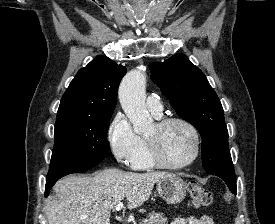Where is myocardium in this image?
Wrapping results in <instances>:
<instances>
[{
    "label": "myocardium",
    "instance_id": "obj_1",
    "mask_svg": "<svg viewBox=\"0 0 275 224\" xmlns=\"http://www.w3.org/2000/svg\"><path fill=\"white\" fill-rule=\"evenodd\" d=\"M171 123H181L191 131L194 139V153L192 157L184 163H180V164L170 163L163 156L157 140L146 136L145 140H146L148 153L151 161L158 167L166 168V169H183L192 165L199 157L200 149H201L200 134L198 129L195 127V125L192 122L180 116L161 117L157 120V122L155 123V126L158 130H162Z\"/></svg>",
    "mask_w": 275,
    "mask_h": 224
}]
</instances>
